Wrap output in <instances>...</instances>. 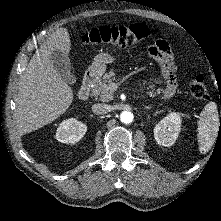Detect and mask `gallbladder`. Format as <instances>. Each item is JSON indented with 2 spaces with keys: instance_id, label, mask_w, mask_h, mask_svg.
Segmentation results:
<instances>
[{
  "instance_id": "bac80fb5",
  "label": "gallbladder",
  "mask_w": 221,
  "mask_h": 221,
  "mask_svg": "<svg viewBox=\"0 0 221 221\" xmlns=\"http://www.w3.org/2000/svg\"><path fill=\"white\" fill-rule=\"evenodd\" d=\"M52 61L55 69L66 83L74 84L76 82V77L71 72L72 65L67 54L60 50H54L52 53Z\"/></svg>"
}]
</instances>
